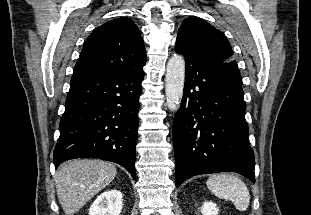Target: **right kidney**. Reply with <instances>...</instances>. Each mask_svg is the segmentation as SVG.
Here are the masks:
<instances>
[{
    "mask_svg": "<svg viewBox=\"0 0 311 215\" xmlns=\"http://www.w3.org/2000/svg\"><path fill=\"white\" fill-rule=\"evenodd\" d=\"M122 193L108 190L100 194L89 209V215H120L122 210Z\"/></svg>",
    "mask_w": 311,
    "mask_h": 215,
    "instance_id": "obj_1",
    "label": "right kidney"
}]
</instances>
